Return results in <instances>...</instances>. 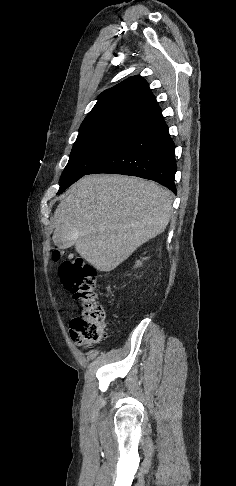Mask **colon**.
<instances>
[{"instance_id":"1","label":"colon","mask_w":236,"mask_h":486,"mask_svg":"<svg viewBox=\"0 0 236 486\" xmlns=\"http://www.w3.org/2000/svg\"><path fill=\"white\" fill-rule=\"evenodd\" d=\"M63 252L54 250L52 257L59 261ZM63 286L82 303V309L70 324V336L75 344L88 347L97 343L107 332L105 313L97 302V273L80 256L70 254L59 267Z\"/></svg>"}]
</instances>
